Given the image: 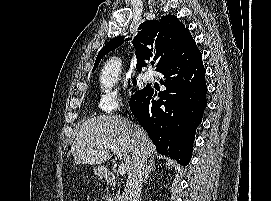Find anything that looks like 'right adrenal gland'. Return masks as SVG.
<instances>
[{"mask_svg":"<svg viewBox=\"0 0 271 201\" xmlns=\"http://www.w3.org/2000/svg\"><path fill=\"white\" fill-rule=\"evenodd\" d=\"M154 165H155V161H154V158L150 159L149 161V164L147 166V170H146V173L144 175V183L147 182V179L148 177L150 176L151 172L153 171L154 169Z\"/></svg>","mask_w":271,"mask_h":201,"instance_id":"1","label":"right adrenal gland"}]
</instances>
